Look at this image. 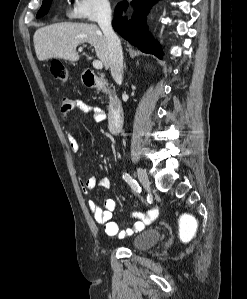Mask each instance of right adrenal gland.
<instances>
[{"mask_svg": "<svg viewBox=\"0 0 247 299\" xmlns=\"http://www.w3.org/2000/svg\"><path fill=\"white\" fill-rule=\"evenodd\" d=\"M124 68L126 69V65H125V63H124Z\"/></svg>", "mask_w": 247, "mask_h": 299, "instance_id": "1", "label": "right adrenal gland"}]
</instances>
